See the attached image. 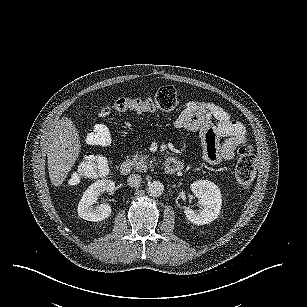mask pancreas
<instances>
[{
	"mask_svg": "<svg viewBox=\"0 0 307 307\" xmlns=\"http://www.w3.org/2000/svg\"><path fill=\"white\" fill-rule=\"evenodd\" d=\"M155 160L156 157L150 158L149 154H135L131 158V163L134 170L146 172L154 169V167L157 165Z\"/></svg>",
	"mask_w": 307,
	"mask_h": 307,
	"instance_id": "1",
	"label": "pancreas"
}]
</instances>
